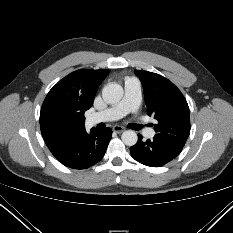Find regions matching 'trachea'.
Returning <instances> with one entry per match:
<instances>
[{
    "instance_id": "trachea-1",
    "label": "trachea",
    "mask_w": 233,
    "mask_h": 233,
    "mask_svg": "<svg viewBox=\"0 0 233 233\" xmlns=\"http://www.w3.org/2000/svg\"><path fill=\"white\" fill-rule=\"evenodd\" d=\"M141 125H138V124H132V129L134 130H140L141 129Z\"/></svg>"
}]
</instances>
